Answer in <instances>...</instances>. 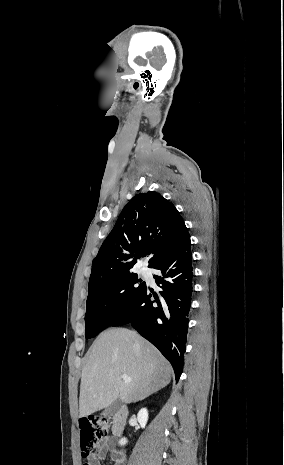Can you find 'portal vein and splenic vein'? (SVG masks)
<instances>
[{"label": "portal vein and splenic vein", "mask_w": 284, "mask_h": 465, "mask_svg": "<svg viewBox=\"0 0 284 465\" xmlns=\"http://www.w3.org/2000/svg\"><path fill=\"white\" fill-rule=\"evenodd\" d=\"M124 383H131V379L130 377H128V375H121Z\"/></svg>", "instance_id": "1"}]
</instances>
